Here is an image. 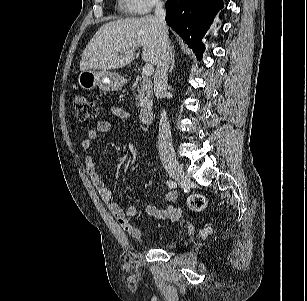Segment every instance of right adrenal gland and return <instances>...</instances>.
Instances as JSON below:
<instances>
[{
  "instance_id": "2a0ac1e0",
  "label": "right adrenal gland",
  "mask_w": 307,
  "mask_h": 301,
  "mask_svg": "<svg viewBox=\"0 0 307 301\" xmlns=\"http://www.w3.org/2000/svg\"><path fill=\"white\" fill-rule=\"evenodd\" d=\"M174 65H175V58H174V52L172 50V60H171L170 72L173 70Z\"/></svg>"
}]
</instances>
